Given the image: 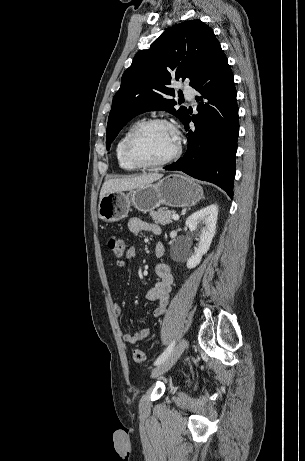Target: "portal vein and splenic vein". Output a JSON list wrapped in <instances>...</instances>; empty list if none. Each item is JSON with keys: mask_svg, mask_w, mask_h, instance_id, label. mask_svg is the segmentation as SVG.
I'll return each instance as SVG.
<instances>
[{"mask_svg": "<svg viewBox=\"0 0 305 461\" xmlns=\"http://www.w3.org/2000/svg\"><path fill=\"white\" fill-rule=\"evenodd\" d=\"M172 219L175 220V221L179 220V215L178 214H173Z\"/></svg>", "mask_w": 305, "mask_h": 461, "instance_id": "1", "label": "portal vein and splenic vein"}]
</instances>
